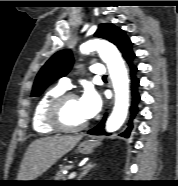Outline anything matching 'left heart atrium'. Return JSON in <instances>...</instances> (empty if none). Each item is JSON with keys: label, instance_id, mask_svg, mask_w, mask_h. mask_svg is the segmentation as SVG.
Returning <instances> with one entry per match:
<instances>
[{"label": "left heart atrium", "instance_id": "39dd6f15", "mask_svg": "<svg viewBox=\"0 0 178 186\" xmlns=\"http://www.w3.org/2000/svg\"><path fill=\"white\" fill-rule=\"evenodd\" d=\"M79 102L83 114L87 119H91L96 116L102 106L100 95L91 87L85 89L79 99Z\"/></svg>", "mask_w": 178, "mask_h": 186}]
</instances>
